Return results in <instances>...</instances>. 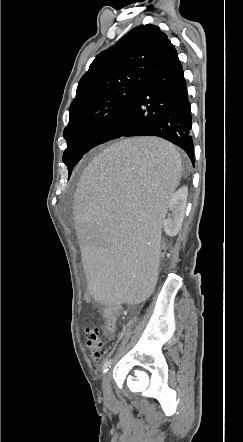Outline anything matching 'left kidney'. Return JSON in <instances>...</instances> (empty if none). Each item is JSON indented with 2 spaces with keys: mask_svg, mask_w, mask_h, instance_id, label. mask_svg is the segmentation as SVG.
I'll list each match as a JSON object with an SVG mask.
<instances>
[{
  "mask_svg": "<svg viewBox=\"0 0 243 442\" xmlns=\"http://www.w3.org/2000/svg\"><path fill=\"white\" fill-rule=\"evenodd\" d=\"M187 195V188L182 187L171 196L167 203L171 215L164 220L163 227L164 231L171 237L176 236L181 229L185 217Z\"/></svg>",
  "mask_w": 243,
  "mask_h": 442,
  "instance_id": "1",
  "label": "left kidney"
}]
</instances>
